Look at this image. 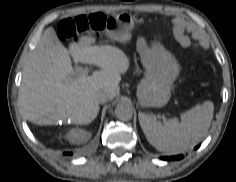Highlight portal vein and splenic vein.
Segmentation results:
<instances>
[{
	"instance_id": "18ae733b",
	"label": "portal vein and splenic vein",
	"mask_w": 236,
	"mask_h": 182,
	"mask_svg": "<svg viewBox=\"0 0 236 182\" xmlns=\"http://www.w3.org/2000/svg\"><path fill=\"white\" fill-rule=\"evenodd\" d=\"M76 72H77V75H79V76H87L89 70L87 68H85V69H77Z\"/></svg>"
}]
</instances>
